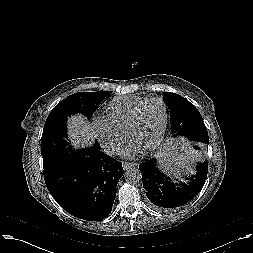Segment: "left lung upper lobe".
Listing matches in <instances>:
<instances>
[{
  "label": "left lung upper lobe",
  "mask_w": 253,
  "mask_h": 253,
  "mask_svg": "<svg viewBox=\"0 0 253 253\" xmlns=\"http://www.w3.org/2000/svg\"><path fill=\"white\" fill-rule=\"evenodd\" d=\"M164 101L170 109L172 137L183 136L201 145L204 151L208 132L197 108L184 97L166 92Z\"/></svg>",
  "instance_id": "left-lung-upper-lobe-1"
}]
</instances>
